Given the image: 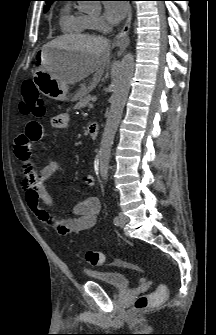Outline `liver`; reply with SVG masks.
I'll return each instance as SVG.
<instances>
[{"label": "liver", "mask_w": 216, "mask_h": 335, "mask_svg": "<svg viewBox=\"0 0 216 335\" xmlns=\"http://www.w3.org/2000/svg\"><path fill=\"white\" fill-rule=\"evenodd\" d=\"M45 46L69 49L77 52L68 67L57 75L68 84H74L98 71L109 60L106 38L90 35H63Z\"/></svg>", "instance_id": "liver-1"}]
</instances>
